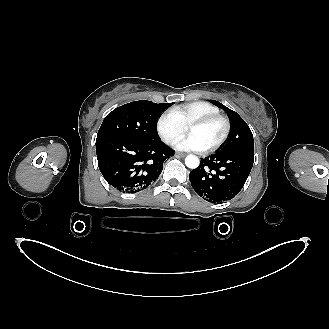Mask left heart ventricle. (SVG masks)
<instances>
[{
    "label": "left heart ventricle",
    "mask_w": 329,
    "mask_h": 329,
    "mask_svg": "<svg viewBox=\"0 0 329 329\" xmlns=\"http://www.w3.org/2000/svg\"><path fill=\"white\" fill-rule=\"evenodd\" d=\"M224 126L220 121H213L202 126L188 129L189 134L195 135L204 145L205 149L214 145L222 136Z\"/></svg>",
    "instance_id": "1"
}]
</instances>
